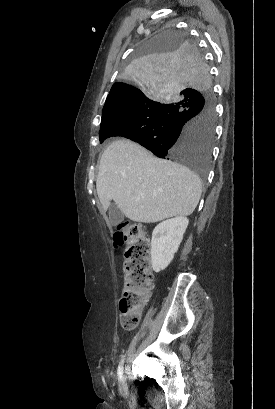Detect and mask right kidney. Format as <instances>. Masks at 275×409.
Wrapping results in <instances>:
<instances>
[{
	"instance_id": "obj_1",
	"label": "right kidney",
	"mask_w": 275,
	"mask_h": 409,
	"mask_svg": "<svg viewBox=\"0 0 275 409\" xmlns=\"http://www.w3.org/2000/svg\"><path fill=\"white\" fill-rule=\"evenodd\" d=\"M186 217H175L155 227L151 241V263L155 273H160L171 263L188 227Z\"/></svg>"
}]
</instances>
